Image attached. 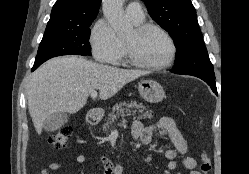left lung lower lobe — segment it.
Masks as SVG:
<instances>
[{"mask_svg":"<svg viewBox=\"0 0 249 174\" xmlns=\"http://www.w3.org/2000/svg\"><path fill=\"white\" fill-rule=\"evenodd\" d=\"M171 72L176 73L174 70H171ZM179 74V73H176ZM192 76H196L203 81H205L212 89V91L217 95V88H216V82H215V75H205V74H190Z\"/></svg>","mask_w":249,"mask_h":174,"instance_id":"obj_1","label":"left lung lower lobe"}]
</instances>
